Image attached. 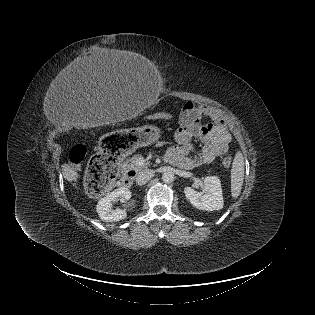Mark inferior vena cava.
<instances>
[{"label": "inferior vena cava", "mask_w": 315, "mask_h": 315, "mask_svg": "<svg viewBox=\"0 0 315 315\" xmlns=\"http://www.w3.org/2000/svg\"><path fill=\"white\" fill-rule=\"evenodd\" d=\"M154 176V171L151 169H145L138 173L136 176V183L138 185H143L148 182Z\"/></svg>", "instance_id": "inferior-vena-cava-1"}]
</instances>
